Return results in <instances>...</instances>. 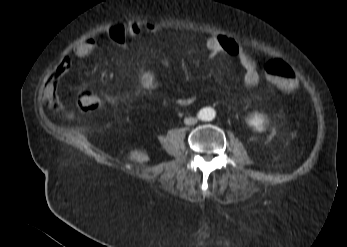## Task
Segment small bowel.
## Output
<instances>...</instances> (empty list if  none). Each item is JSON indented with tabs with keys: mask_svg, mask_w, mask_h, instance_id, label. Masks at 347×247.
Wrapping results in <instances>:
<instances>
[{
	"mask_svg": "<svg viewBox=\"0 0 347 247\" xmlns=\"http://www.w3.org/2000/svg\"><path fill=\"white\" fill-rule=\"evenodd\" d=\"M159 30L160 28L151 22H130L126 27L120 24H112L103 31L101 37L116 45L123 46L128 37H139L144 32L157 33ZM100 39V37H91L76 43L73 47V53L80 58L90 55L98 48ZM205 47L209 55L214 59L220 56H229L237 59L244 69L242 84L245 88L253 89L258 85L259 75L255 59L234 38L226 35H211L205 40ZM70 66L71 63L68 59L63 60L45 85L44 93L47 97V102L55 109L59 107L56 99L58 81L70 70ZM140 85L145 90H156L161 86V80L156 73L146 72L140 77ZM82 92L91 91L82 89ZM194 101V96H184L177 100V104L187 107L192 105Z\"/></svg>",
	"mask_w": 347,
	"mask_h": 247,
	"instance_id": "1",
	"label": "small bowel"
}]
</instances>
